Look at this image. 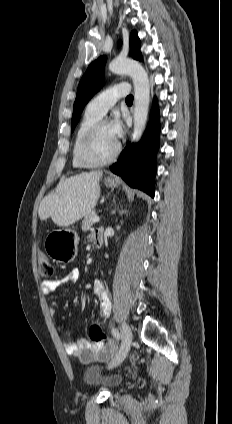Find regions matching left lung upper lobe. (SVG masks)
Masks as SVG:
<instances>
[{
	"mask_svg": "<svg viewBox=\"0 0 232 424\" xmlns=\"http://www.w3.org/2000/svg\"><path fill=\"white\" fill-rule=\"evenodd\" d=\"M129 46L131 56L136 60H142V55L140 53V40L135 30L132 31L130 34ZM105 63V56H101L100 58L92 62L79 83L73 107L71 125L72 131L74 130L76 124L80 119V114L84 106L102 86L104 80Z\"/></svg>",
	"mask_w": 232,
	"mask_h": 424,
	"instance_id": "obj_1",
	"label": "left lung upper lobe"
}]
</instances>
